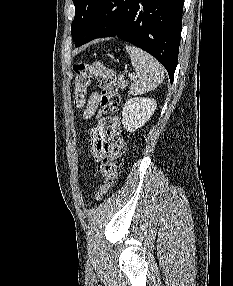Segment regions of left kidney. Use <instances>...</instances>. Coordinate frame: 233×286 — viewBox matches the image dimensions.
Listing matches in <instances>:
<instances>
[{
    "mask_svg": "<svg viewBox=\"0 0 233 286\" xmlns=\"http://www.w3.org/2000/svg\"><path fill=\"white\" fill-rule=\"evenodd\" d=\"M156 109V101L151 98L134 97L128 99L122 110V124L128 132L142 127Z\"/></svg>",
    "mask_w": 233,
    "mask_h": 286,
    "instance_id": "1",
    "label": "left kidney"
}]
</instances>
